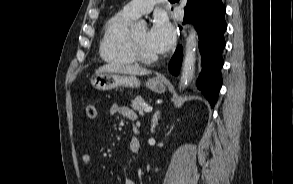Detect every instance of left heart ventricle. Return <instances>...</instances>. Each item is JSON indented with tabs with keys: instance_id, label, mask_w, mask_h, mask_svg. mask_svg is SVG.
Segmentation results:
<instances>
[{
	"instance_id": "left-heart-ventricle-1",
	"label": "left heart ventricle",
	"mask_w": 293,
	"mask_h": 184,
	"mask_svg": "<svg viewBox=\"0 0 293 184\" xmlns=\"http://www.w3.org/2000/svg\"><path fill=\"white\" fill-rule=\"evenodd\" d=\"M133 36L138 43L141 51L147 56L157 55L147 43V30L145 28L139 29L133 33Z\"/></svg>"
}]
</instances>
